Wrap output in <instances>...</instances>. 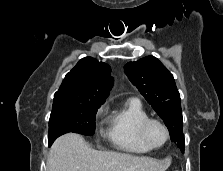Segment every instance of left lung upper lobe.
I'll return each mask as SVG.
<instances>
[{
	"instance_id": "obj_1",
	"label": "left lung upper lobe",
	"mask_w": 223,
	"mask_h": 171,
	"mask_svg": "<svg viewBox=\"0 0 223 171\" xmlns=\"http://www.w3.org/2000/svg\"><path fill=\"white\" fill-rule=\"evenodd\" d=\"M124 69L132 84L164 121L171 141L184 152L181 99L173 75L153 56L129 62Z\"/></svg>"
}]
</instances>
